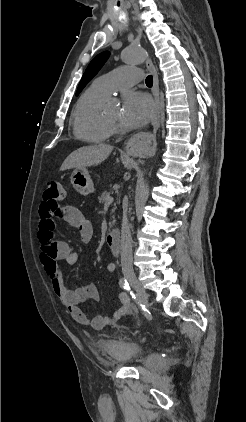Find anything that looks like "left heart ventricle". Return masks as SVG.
<instances>
[{
    "label": "left heart ventricle",
    "mask_w": 246,
    "mask_h": 422,
    "mask_svg": "<svg viewBox=\"0 0 246 422\" xmlns=\"http://www.w3.org/2000/svg\"><path fill=\"white\" fill-rule=\"evenodd\" d=\"M119 115H120L119 109L113 108L106 112L105 117L112 122H117L119 119Z\"/></svg>",
    "instance_id": "b2bd125f"
}]
</instances>
